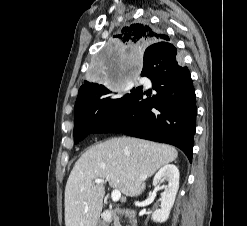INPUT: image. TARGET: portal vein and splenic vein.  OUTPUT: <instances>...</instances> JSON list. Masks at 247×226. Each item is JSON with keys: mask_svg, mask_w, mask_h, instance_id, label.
Wrapping results in <instances>:
<instances>
[{"mask_svg": "<svg viewBox=\"0 0 247 226\" xmlns=\"http://www.w3.org/2000/svg\"><path fill=\"white\" fill-rule=\"evenodd\" d=\"M95 183L96 184H104V183H106V181H104L103 179H95ZM111 198L114 202L119 201L121 198V192L117 189L113 190L112 194H111Z\"/></svg>", "mask_w": 247, "mask_h": 226, "instance_id": "obj_1", "label": "portal vein and splenic vein"}]
</instances>
